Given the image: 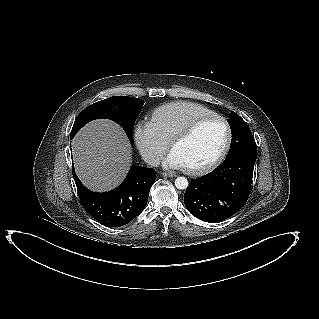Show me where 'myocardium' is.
<instances>
[{
	"label": "myocardium",
	"instance_id": "obj_1",
	"mask_svg": "<svg viewBox=\"0 0 319 319\" xmlns=\"http://www.w3.org/2000/svg\"><path fill=\"white\" fill-rule=\"evenodd\" d=\"M211 119H217L221 121L226 129V138L224 141V144L217 154V156L208 164L199 166V167H184V171L190 175H203L206 174L213 169H215L218 165L221 164V162L224 160L225 156L228 153V150L231 145L232 141V129L225 117L222 115L212 113L203 115L200 117H197L193 119L191 122H189L184 128H182L177 134L174 135V137L170 140L169 146L170 149L173 150L175 145L182 142L183 140L187 139L195 130L196 128L202 124L205 121L211 120Z\"/></svg>",
	"mask_w": 319,
	"mask_h": 319
}]
</instances>
